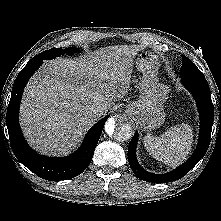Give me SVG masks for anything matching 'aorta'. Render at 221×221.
<instances>
[{
  "label": "aorta",
  "instance_id": "aorta-1",
  "mask_svg": "<svg viewBox=\"0 0 221 221\" xmlns=\"http://www.w3.org/2000/svg\"><path fill=\"white\" fill-rule=\"evenodd\" d=\"M107 135L117 141H127L134 134V125L125 115H117L109 118L105 123Z\"/></svg>",
  "mask_w": 221,
  "mask_h": 221
}]
</instances>
